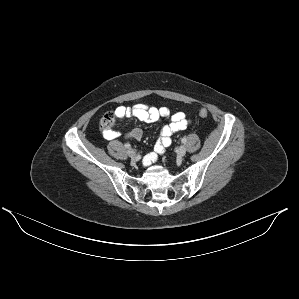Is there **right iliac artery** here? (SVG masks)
<instances>
[{"instance_id": "82829eb1", "label": "right iliac artery", "mask_w": 299, "mask_h": 299, "mask_svg": "<svg viewBox=\"0 0 299 299\" xmlns=\"http://www.w3.org/2000/svg\"><path fill=\"white\" fill-rule=\"evenodd\" d=\"M124 146H125V148H130L131 147V145L129 143H126Z\"/></svg>"}]
</instances>
